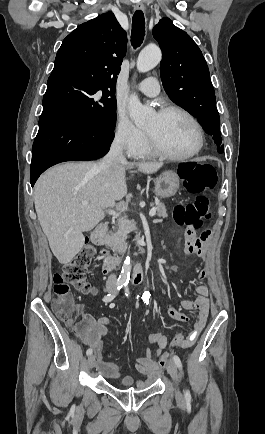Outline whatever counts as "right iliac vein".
<instances>
[{"label": "right iliac vein", "mask_w": 265, "mask_h": 434, "mask_svg": "<svg viewBox=\"0 0 265 434\" xmlns=\"http://www.w3.org/2000/svg\"><path fill=\"white\" fill-rule=\"evenodd\" d=\"M107 290H108V291H112L113 288H112V287H109V288H107ZM87 363H88V367H89L90 369H92V368L94 367V364H95V357H94V355H90V356L88 357Z\"/></svg>", "instance_id": "right-iliac-vein-1"}]
</instances>
